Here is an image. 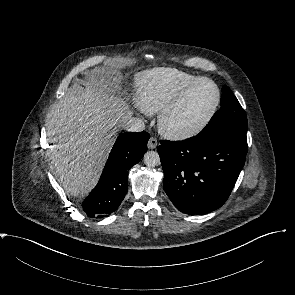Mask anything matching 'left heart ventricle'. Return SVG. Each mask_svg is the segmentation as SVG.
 Here are the masks:
<instances>
[{"label":"left heart ventricle","instance_id":"left-heart-ventricle-1","mask_svg":"<svg viewBox=\"0 0 295 295\" xmlns=\"http://www.w3.org/2000/svg\"><path fill=\"white\" fill-rule=\"evenodd\" d=\"M215 100L214 86L208 81L199 82L172 115L171 125L178 130L195 127L209 114Z\"/></svg>","mask_w":295,"mask_h":295}]
</instances>
